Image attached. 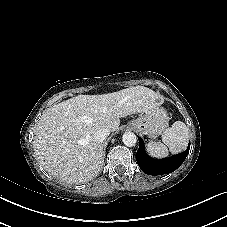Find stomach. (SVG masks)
<instances>
[{"instance_id":"1","label":"stomach","mask_w":227,"mask_h":227,"mask_svg":"<svg viewBox=\"0 0 227 227\" xmlns=\"http://www.w3.org/2000/svg\"><path fill=\"white\" fill-rule=\"evenodd\" d=\"M168 123L167 111L157 106L143 116L132 120L128 126L141 134L147 135L150 139H155L168 127Z\"/></svg>"}]
</instances>
